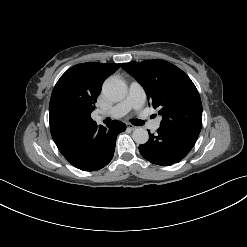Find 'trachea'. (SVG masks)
Returning a JSON list of instances; mask_svg holds the SVG:
<instances>
[{
  "instance_id": "trachea-1",
  "label": "trachea",
  "mask_w": 247,
  "mask_h": 247,
  "mask_svg": "<svg viewBox=\"0 0 247 247\" xmlns=\"http://www.w3.org/2000/svg\"><path fill=\"white\" fill-rule=\"evenodd\" d=\"M143 123L144 122L142 120H139V119L132 120V124L135 126H141V125H143Z\"/></svg>"
}]
</instances>
